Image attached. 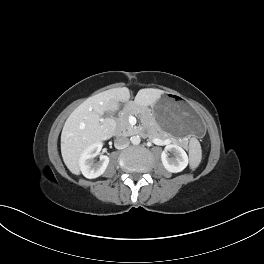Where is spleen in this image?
Here are the masks:
<instances>
[{
  "instance_id": "spleen-1",
  "label": "spleen",
  "mask_w": 264,
  "mask_h": 264,
  "mask_svg": "<svg viewBox=\"0 0 264 264\" xmlns=\"http://www.w3.org/2000/svg\"><path fill=\"white\" fill-rule=\"evenodd\" d=\"M194 142H195L196 147H195V152H193V155H192V161H191L192 168H196L201 161V148L196 139H194Z\"/></svg>"
}]
</instances>
